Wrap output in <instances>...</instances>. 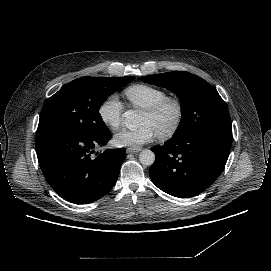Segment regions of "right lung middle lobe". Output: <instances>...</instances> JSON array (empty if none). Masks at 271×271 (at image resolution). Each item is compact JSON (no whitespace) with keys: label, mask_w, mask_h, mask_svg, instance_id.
<instances>
[{"label":"right lung middle lobe","mask_w":271,"mask_h":271,"mask_svg":"<svg viewBox=\"0 0 271 271\" xmlns=\"http://www.w3.org/2000/svg\"><path fill=\"white\" fill-rule=\"evenodd\" d=\"M135 77H81L71 81L44 104L37 134L65 130L94 135L106 130L99 109L115 91Z\"/></svg>","instance_id":"1"}]
</instances>
